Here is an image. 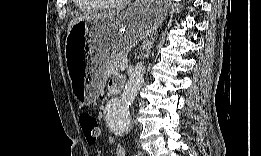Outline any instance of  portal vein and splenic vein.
I'll list each match as a JSON object with an SVG mask.
<instances>
[{
    "mask_svg": "<svg viewBox=\"0 0 261 156\" xmlns=\"http://www.w3.org/2000/svg\"><path fill=\"white\" fill-rule=\"evenodd\" d=\"M128 67V62L127 60L124 61L122 64L119 65L120 70H125Z\"/></svg>",
    "mask_w": 261,
    "mask_h": 156,
    "instance_id": "portal-vein-and-splenic-vein-1",
    "label": "portal vein and splenic vein"
}]
</instances>
